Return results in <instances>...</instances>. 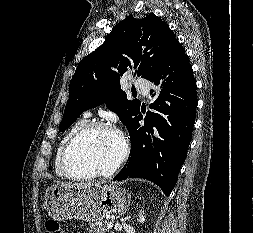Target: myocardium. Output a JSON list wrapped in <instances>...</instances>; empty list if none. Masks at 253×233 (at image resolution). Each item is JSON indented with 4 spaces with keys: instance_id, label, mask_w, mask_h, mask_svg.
Masks as SVG:
<instances>
[{
    "instance_id": "1",
    "label": "myocardium",
    "mask_w": 253,
    "mask_h": 233,
    "mask_svg": "<svg viewBox=\"0 0 253 233\" xmlns=\"http://www.w3.org/2000/svg\"><path fill=\"white\" fill-rule=\"evenodd\" d=\"M97 130H109L114 133H116L121 141V152L118 157V159L115 161V163L108 168L107 170H93L91 172L85 173V174H75L70 166H69V156L74 148V146L77 144V142L86 136L89 133H92ZM129 154V142L125 134L116 126L103 122V121H94L89 122L85 126H83L78 132L74 134V136L69 140L67 143L61 160L62 169L66 175V177L73 179V180H85L90 179L94 177H108L114 174L126 161Z\"/></svg>"
}]
</instances>
